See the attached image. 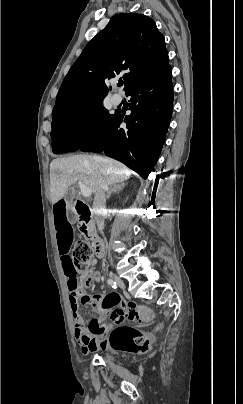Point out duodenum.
Instances as JSON below:
<instances>
[{"label": "duodenum", "instance_id": "410a0bca", "mask_svg": "<svg viewBox=\"0 0 243 404\" xmlns=\"http://www.w3.org/2000/svg\"><path fill=\"white\" fill-rule=\"evenodd\" d=\"M74 209L79 220L81 232L93 239L96 256L103 258L105 256L104 243L100 238L95 236L91 230L90 208L84 202L78 200L75 202Z\"/></svg>", "mask_w": 243, "mask_h": 404}]
</instances>
